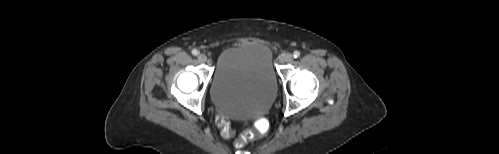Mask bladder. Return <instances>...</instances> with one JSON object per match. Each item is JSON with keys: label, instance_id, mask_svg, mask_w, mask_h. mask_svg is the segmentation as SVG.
Returning <instances> with one entry per match:
<instances>
[{"label": "bladder", "instance_id": "31cf9c89", "mask_svg": "<svg viewBox=\"0 0 499 154\" xmlns=\"http://www.w3.org/2000/svg\"><path fill=\"white\" fill-rule=\"evenodd\" d=\"M276 93L277 73L267 44L239 43L219 54L210 87L215 106L236 118L258 116Z\"/></svg>", "mask_w": 499, "mask_h": 154}]
</instances>
